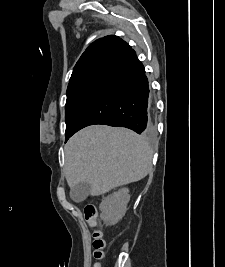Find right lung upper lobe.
Masks as SVG:
<instances>
[{"mask_svg":"<svg viewBox=\"0 0 225 267\" xmlns=\"http://www.w3.org/2000/svg\"><path fill=\"white\" fill-rule=\"evenodd\" d=\"M130 48L125 41L114 35L94 41L76 63L69 85L86 77L104 75L116 58Z\"/></svg>","mask_w":225,"mask_h":267,"instance_id":"obj_1","label":"right lung upper lobe"}]
</instances>
